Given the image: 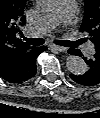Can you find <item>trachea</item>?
Instances as JSON below:
<instances>
[{"label": "trachea", "mask_w": 100, "mask_h": 118, "mask_svg": "<svg viewBox=\"0 0 100 118\" xmlns=\"http://www.w3.org/2000/svg\"><path fill=\"white\" fill-rule=\"evenodd\" d=\"M24 40H26L27 42H29V44H31L33 46L42 45L45 42L44 39H42V38L28 39V38L24 37ZM56 43L59 45H62V46L68 45V42H66V41H56Z\"/></svg>", "instance_id": "trachea-1"}]
</instances>
